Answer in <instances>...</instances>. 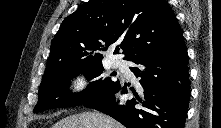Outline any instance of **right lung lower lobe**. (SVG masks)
I'll return each mask as SVG.
<instances>
[{
    "label": "right lung lower lobe",
    "instance_id": "98d812e1",
    "mask_svg": "<svg viewBox=\"0 0 221 128\" xmlns=\"http://www.w3.org/2000/svg\"><path fill=\"white\" fill-rule=\"evenodd\" d=\"M130 67L144 89L127 103L116 102L115 94L127 93L126 84L83 104L99 110L127 128H184L190 99L188 54L184 39L178 44L138 56Z\"/></svg>",
    "mask_w": 221,
    "mask_h": 128
}]
</instances>
